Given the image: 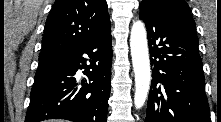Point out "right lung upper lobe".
Instances as JSON below:
<instances>
[{
    "label": "right lung upper lobe",
    "mask_w": 221,
    "mask_h": 122,
    "mask_svg": "<svg viewBox=\"0 0 221 122\" xmlns=\"http://www.w3.org/2000/svg\"><path fill=\"white\" fill-rule=\"evenodd\" d=\"M105 0H56L49 13L39 62L72 51L110 30Z\"/></svg>",
    "instance_id": "1"
}]
</instances>
